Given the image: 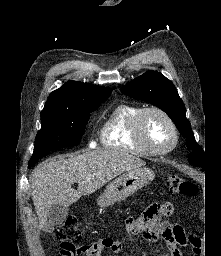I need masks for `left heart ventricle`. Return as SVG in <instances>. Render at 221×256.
Masks as SVG:
<instances>
[{
	"label": "left heart ventricle",
	"instance_id": "left-heart-ventricle-1",
	"mask_svg": "<svg viewBox=\"0 0 221 256\" xmlns=\"http://www.w3.org/2000/svg\"><path fill=\"white\" fill-rule=\"evenodd\" d=\"M143 133L155 148L163 149L173 141L172 130L167 121L157 113H149L144 119Z\"/></svg>",
	"mask_w": 221,
	"mask_h": 256
}]
</instances>
